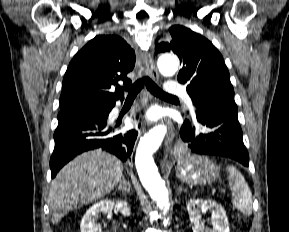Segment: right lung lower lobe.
Segmentation results:
<instances>
[{
    "instance_id": "98d812e1",
    "label": "right lung lower lobe",
    "mask_w": 289,
    "mask_h": 232,
    "mask_svg": "<svg viewBox=\"0 0 289 232\" xmlns=\"http://www.w3.org/2000/svg\"><path fill=\"white\" fill-rule=\"evenodd\" d=\"M112 108H107L99 117L59 121L50 159L52 178L76 155L95 148H102L122 161L130 157L137 132L117 133L115 127L108 126L107 119Z\"/></svg>"
}]
</instances>
